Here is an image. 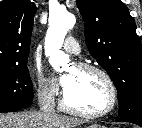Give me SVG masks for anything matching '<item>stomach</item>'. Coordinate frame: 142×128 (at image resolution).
I'll return each instance as SVG.
<instances>
[{"label":"stomach","mask_w":142,"mask_h":128,"mask_svg":"<svg viewBox=\"0 0 142 128\" xmlns=\"http://www.w3.org/2000/svg\"><path fill=\"white\" fill-rule=\"evenodd\" d=\"M89 128H105L101 125H97V124H94V125H91Z\"/></svg>","instance_id":"stomach-1"}]
</instances>
